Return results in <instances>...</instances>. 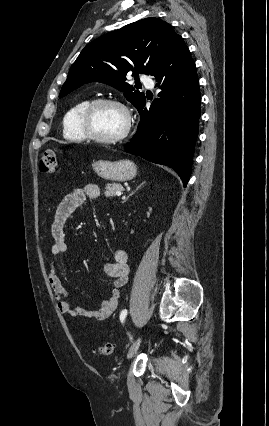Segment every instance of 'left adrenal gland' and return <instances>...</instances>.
Instances as JSON below:
<instances>
[{"instance_id":"1","label":"left adrenal gland","mask_w":269,"mask_h":426,"mask_svg":"<svg viewBox=\"0 0 269 426\" xmlns=\"http://www.w3.org/2000/svg\"><path fill=\"white\" fill-rule=\"evenodd\" d=\"M145 182H143V183H141L137 188H136V190L135 191H133L131 194H129V196L124 200V202H126L128 199H129V197L130 196H132L143 184H144Z\"/></svg>"}]
</instances>
